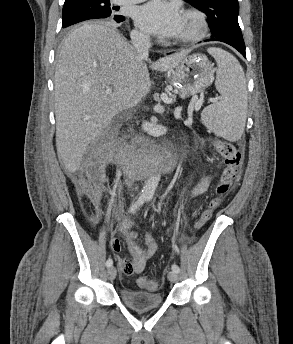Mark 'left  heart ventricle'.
<instances>
[{"label":"left heart ventricle","mask_w":293,"mask_h":344,"mask_svg":"<svg viewBox=\"0 0 293 344\" xmlns=\"http://www.w3.org/2000/svg\"><path fill=\"white\" fill-rule=\"evenodd\" d=\"M191 30H192V23L189 20L183 18L182 28L180 32L175 36V38L178 39L183 36H186L191 32Z\"/></svg>","instance_id":"left-heart-ventricle-1"}]
</instances>
